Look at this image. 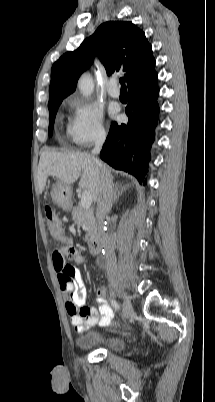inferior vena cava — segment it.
Listing matches in <instances>:
<instances>
[{"label": "inferior vena cava", "mask_w": 215, "mask_h": 402, "mask_svg": "<svg viewBox=\"0 0 215 402\" xmlns=\"http://www.w3.org/2000/svg\"><path fill=\"white\" fill-rule=\"evenodd\" d=\"M105 141V136L99 137L95 142V147L92 150L93 155L100 153L102 145ZM100 172H99V190L97 197V211L96 218L99 226V236L101 238L102 247L105 251V262L107 277L110 282H115L117 279V266L116 257L114 253V246L110 240L107 232L104 229V221L106 215L110 212L113 202V189L111 178L101 163L96 160Z\"/></svg>", "instance_id": "1"}]
</instances>
